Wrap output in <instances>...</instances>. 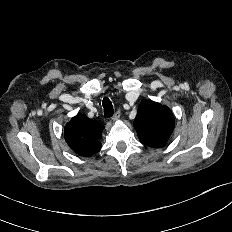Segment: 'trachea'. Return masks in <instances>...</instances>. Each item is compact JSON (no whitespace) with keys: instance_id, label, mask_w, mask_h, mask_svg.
Returning a JSON list of instances; mask_svg holds the SVG:
<instances>
[{"instance_id":"trachea-1","label":"trachea","mask_w":232,"mask_h":232,"mask_svg":"<svg viewBox=\"0 0 232 232\" xmlns=\"http://www.w3.org/2000/svg\"><path fill=\"white\" fill-rule=\"evenodd\" d=\"M103 108L105 118H110L114 114V108L109 98L105 97L103 99Z\"/></svg>"}]
</instances>
